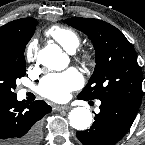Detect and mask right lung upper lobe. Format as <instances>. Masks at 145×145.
Instances as JSON below:
<instances>
[{
    "label": "right lung upper lobe",
    "mask_w": 145,
    "mask_h": 145,
    "mask_svg": "<svg viewBox=\"0 0 145 145\" xmlns=\"http://www.w3.org/2000/svg\"><path fill=\"white\" fill-rule=\"evenodd\" d=\"M36 19L23 18L14 20L0 27V44H6L23 38L35 29Z\"/></svg>",
    "instance_id": "cb5924a9"
}]
</instances>
